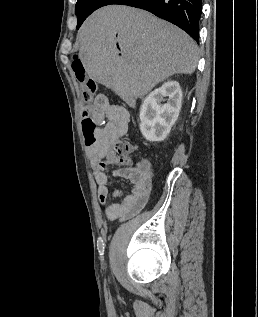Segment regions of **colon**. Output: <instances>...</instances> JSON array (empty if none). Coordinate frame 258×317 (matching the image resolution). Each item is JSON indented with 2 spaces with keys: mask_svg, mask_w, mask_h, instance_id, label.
<instances>
[{
  "mask_svg": "<svg viewBox=\"0 0 258 317\" xmlns=\"http://www.w3.org/2000/svg\"><path fill=\"white\" fill-rule=\"evenodd\" d=\"M72 69L77 80L80 82L83 98L87 103H90L96 91L95 82L87 76L84 65L78 57L73 59ZM85 108L86 112L82 117L83 137L86 145L93 147L101 140L103 125L98 115L93 113L88 106ZM135 149L136 147L131 142L117 140L112 145L110 157L114 163L126 165L130 163L129 155L133 153Z\"/></svg>",
  "mask_w": 258,
  "mask_h": 317,
  "instance_id": "5ec220e1",
  "label": "colon"
}]
</instances>
